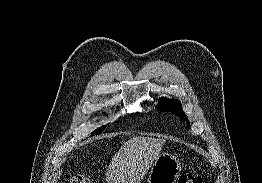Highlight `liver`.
Here are the masks:
<instances>
[{"label":"liver","mask_w":262,"mask_h":183,"mask_svg":"<svg viewBox=\"0 0 262 183\" xmlns=\"http://www.w3.org/2000/svg\"><path fill=\"white\" fill-rule=\"evenodd\" d=\"M166 140L133 137L112 158L106 172L107 183H140L160 155Z\"/></svg>","instance_id":"obj_1"}]
</instances>
